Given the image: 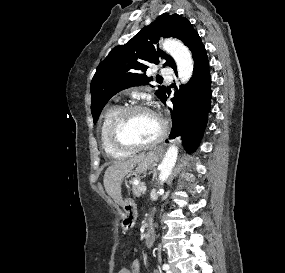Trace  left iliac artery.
<instances>
[{"mask_svg":"<svg viewBox=\"0 0 285 273\" xmlns=\"http://www.w3.org/2000/svg\"><path fill=\"white\" fill-rule=\"evenodd\" d=\"M162 268H163V270L167 271V273H171V272L169 271V268H170V267H169L168 264H163Z\"/></svg>","mask_w":285,"mask_h":273,"instance_id":"44dca946","label":"left iliac artery"}]
</instances>
